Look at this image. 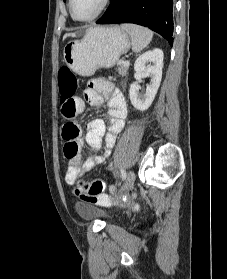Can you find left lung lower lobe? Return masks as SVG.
<instances>
[{"label": "left lung lower lobe", "instance_id": "left-lung-lower-lobe-1", "mask_svg": "<svg viewBox=\"0 0 227 279\" xmlns=\"http://www.w3.org/2000/svg\"><path fill=\"white\" fill-rule=\"evenodd\" d=\"M98 24L135 23L162 35L173 44V0H110Z\"/></svg>", "mask_w": 227, "mask_h": 279}]
</instances>
